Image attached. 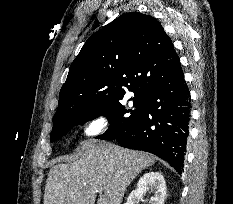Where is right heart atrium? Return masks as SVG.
Masks as SVG:
<instances>
[{
    "label": "right heart atrium",
    "instance_id": "d8ad5b80",
    "mask_svg": "<svg viewBox=\"0 0 233 204\" xmlns=\"http://www.w3.org/2000/svg\"><path fill=\"white\" fill-rule=\"evenodd\" d=\"M110 126V116L107 111L100 110L89 115L82 124V135L86 138L98 137L104 134Z\"/></svg>",
    "mask_w": 233,
    "mask_h": 204
}]
</instances>
